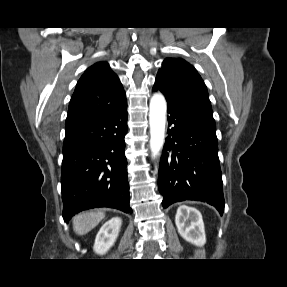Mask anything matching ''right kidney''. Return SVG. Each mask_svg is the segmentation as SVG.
Instances as JSON below:
<instances>
[{
  "label": "right kidney",
  "instance_id": "right-kidney-1",
  "mask_svg": "<svg viewBox=\"0 0 287 287\" xmlns=\"http://www.w3.org/2000/svg\"><path fill=\"white\" fill-rule=\"evenodd\" d=\"M121 223L119 217H114L103 224L96 235L93 247L97 254H105L114 245L119 234Z\"/></svg>",
  "mask_w": 287,
  "mask_h": 287
}]
</instances>
